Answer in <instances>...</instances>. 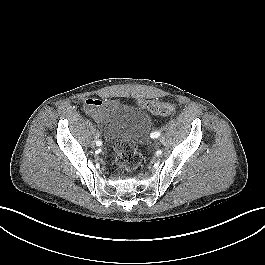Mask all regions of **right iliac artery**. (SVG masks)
I'll list each match as a JSON object with an SVG mask.
<instances>
[{"instance_id":"1","label":"right iliac artery","mask_w":265,"mask_h":265,"mask_svg":"<svg viewBox=\"0 0 265 265\" xmlns=\"http://www.w3.org/2000/svg\"><path fill=\"white\" fill-rule=\"evenodd\" d=\"M96 145H97V146H101V145H102V142H101V141H97V142H96Z\"/></svg>"}]
</instances>
